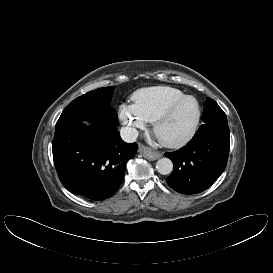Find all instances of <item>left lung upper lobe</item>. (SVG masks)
I'll return each instance as SVG.
<instances>
[{
    "mask_svg": "<svg viewBox=\"0 0 273 273\" xmlns=\"http://www.w3.org/2000/svg\"><path fill=\"white\" fill-rule=\"evenodd\" d=\"M205 125L227 122L226 114L219 105L211 98H207L204 104V111L201 117Z\"/></svg>",
    "mask_w": 273,
    "mask_h": 273,
    "instance_id": "left-lung-upper-lobe-1",
    "label": "left lung upper lobe"
}]
</instances>
